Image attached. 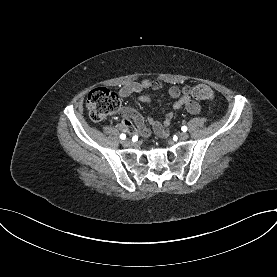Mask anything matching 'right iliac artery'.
<instances>
[{
    "mask_svg": "<svg viewBox=\"0 0 277 277\" xmlns=\"http://www.w3.org/2000/svg\"><path fill=\"white\" fill-rule=\"evenodd\" d=\"M120 138H121V139H125V138H126V135H125V134H121V135H120Z\"/></svg>",
    "mask_w": 277,
    "mask_h": 277,
    "instance_id": "82829eb1",
    "label": "right iliac artery"
}]
</instances>
